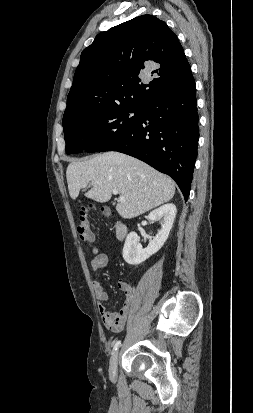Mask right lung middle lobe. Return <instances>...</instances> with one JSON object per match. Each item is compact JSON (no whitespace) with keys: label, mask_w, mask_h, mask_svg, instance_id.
Returning a JSON list of instances; mask_svg holds the SVG:
<instances>
[{"label":"right lung middle lobe","mask_w":253,"mask_h":413,"mask_svg":"<svg viewBox=\"0 0 253 413\" xmlns=\"http://www.w3.org/2000/svg\"><path fill=\"white\" fill-rule=\"evenodd\" d=\"M134 113V116H130ZM140 108H115L63 124L66 153L98 152L130 132L139 122Z\"/></svg>","instance_id":"obj_1"}]
</instances>
